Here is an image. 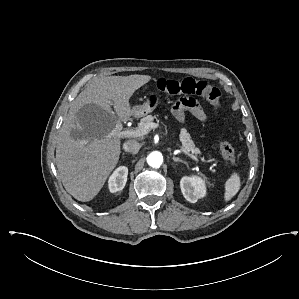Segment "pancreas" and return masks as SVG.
Returning <instances> with one entry per match:
<instances>
[{
	"label": "pancreas",
	"mask_w": 299,
	"mask_h": 299,
	"mask_svg": "<svg viewBox=\"0 0 299 299\" xmlns=\"http://www.w3.org/2000/svg\"><path fill=\"white\" fill-rule=\"evenodd\" d=\"M156 118V116L148 115L140 120V123L138 124V129L145 128L149 123L153 122V120ZM180 141L182 143V147L185 150L191 151L194 154L200 153V150L198 148H195V145L193 141L191 140L190 134L186 131V129H181L180 135H179Z\"/></svg>",
	"instance_id": "cf45deb5"
}]
</instances>
